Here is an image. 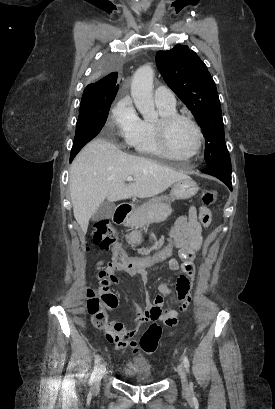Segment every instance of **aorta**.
I'll return each instance as SVG.
<instances>
[{
  "label": "aorta",
  "instance_id": "obj_1",
  "mask_svg": "<svg viewBox=\"0 0 275 409\" xmlns=\"http://www.w3.org/2000/svg\"><path fill=\"white\" fill-rule=\"evenodd\" d=\"M154 70L149 64H143L136 70L131 82V96L144 120H155L158 114L153 98Z\"/></svg>",
  "mask_w": 275,
  "mask_h": 409
}]
</instances>
